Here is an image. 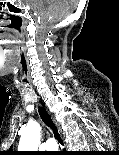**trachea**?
Segmentation results:
<instances>
[{
    "mask_svg": "<svg viewBox=\"0 0 119 155\" xmlns=\"http://www.w3.org/2000/svg\"><path fill=\"white\" fill-rule=\"evenodd\" d=\"M38 112H39V115H40L42 121L45 123V125L48 126L53 131L55 139L60 144H63V140H62L50 114L47 112V110L44 107H39Z\"/></svg>",
    "mask_w": 119,
    "mask_h": 155,
    "instance_id": "trachea-1",
    "label": "trachea"
}]
</instances>
